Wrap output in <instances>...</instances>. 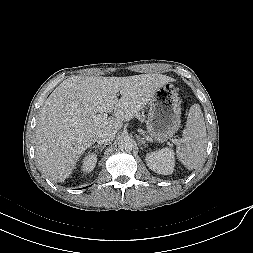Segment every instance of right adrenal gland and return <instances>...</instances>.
Wrapping results in <instances>:
<instances>
[{
	"label": "right adrenal gland",
	"instance_id": "right-adrenal-gland-1",
	"mask_svg": "<svg viewBox=\"0 0 253 253\" xmlns=\"http://www.w3.org/2000/svg\"><path fill=\"white\" fill-rule=\"evenodd\" d=\"M105 147H106L105 145L101 146V145H94V144H93V148H98V149H100V152H101Z\"/></svg>",
	"mask_w": 253,
	"mask_h": 253
}]
</instances>
